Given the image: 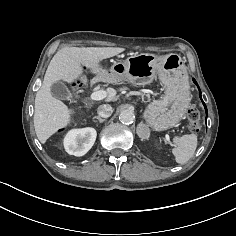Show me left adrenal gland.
Wrapping results in <instances>:
<instances>
[{
  "label": "left adrenal gland",
  "instance_id": "obj_1",
  "mask_svg": "<svg viewBox=\"0 0 236 236\" xmlns=\"http://www.w3.org/2000/svg\"><path fill=\"white\" fill-rule=\"evenodd\" d=\"M144 126L143 122H141L137 127V134L140 136V128Z\"/></svg>",
  "mask_w": 236,
  "mask_h": 236
}]
</instances>
